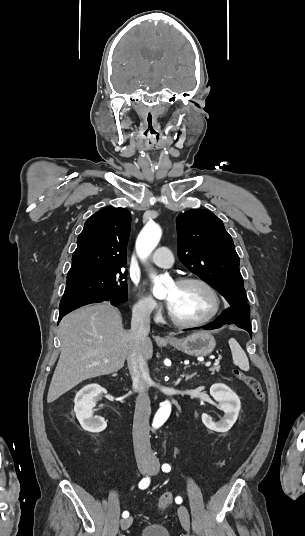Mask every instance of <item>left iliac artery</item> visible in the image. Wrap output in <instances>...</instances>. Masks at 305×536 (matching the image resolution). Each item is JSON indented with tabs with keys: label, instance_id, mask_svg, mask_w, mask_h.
<instances>
[{
	"label": "left iliac artery",
	"instance_id": "obj_1",
	"mask_svg": "<svg viewBox=\"0 0 305 536\" xmlns=\"http://www.w3.org/2000/svg\"><path fill=\"white\" fill-rule=\"evenodd\" d=\"M171 470V467L169 466V464H163L162 465V471L164 472H170ZM176 503L180 504L182 502V498L181 497H176L175 499Z\"/></svg>",
	"mask_w": 305,
	"mask_h": 536
}]
</instances>
